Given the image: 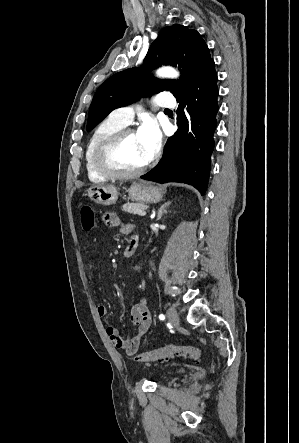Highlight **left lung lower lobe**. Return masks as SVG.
<instances>
[{"instance_id":"obj_1","label":"left lung lower lobe","mask_w":299,"mask_h":443,"mask_svg":"<svg viewBox=\"0 0 299 443\" xmlns=\"http://www.w3.org/2000/svg\"><path fill=\"white\" fill-rule=\"evenodd\" d=\"M218 88L212 60L189 87L176 97L179 102L176 133L168 138L162 159L144 180L183 182L204 195L214 147L213 133L218 112Z\"/></svg>"}]
</instances>
